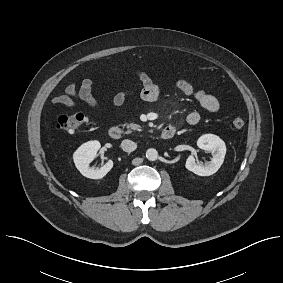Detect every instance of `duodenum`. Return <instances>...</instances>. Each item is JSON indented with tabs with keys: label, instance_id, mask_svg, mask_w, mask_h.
Here are the masks:
<instances>
[{
	"label": "duodenum",
	"instance_id": "1",
	"mask_svg": "<svg viewBox=\"0 0 283 283\" xmlns=\"http://www.w3.org/2000/svg\"><path fill=\"white\" fill-rule=\"evenodd\" d=\"M175 132H176L175 127L167 126L160 133V138L163 140L171 139L174 136ZM121 134H122L121 129L118 126H113L109 129V136L114 140L120 139Z\"/></svg>",
	"mask_w": 283,
	"mask_h": 283
}]
</instances>
